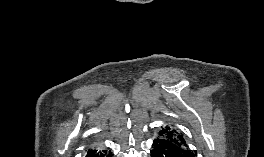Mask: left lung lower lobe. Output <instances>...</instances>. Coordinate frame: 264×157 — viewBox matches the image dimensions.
<instances>
[{
    "label": "left lung lower lobe",
    "instance_id": "1",
    "mask_svg": "<svg viewBox=\"0 0 264 157\" xmlns=\"http://www.w3.org/2000/svg\"><path fill=\"white\" fill-rule=\"evenodd\" d=\"M150 153V157H189L178 146L162 138L154 140Z\"/></svg>",
    "mask_w": 264,
    "mask_h": 157
}]
</instances>
